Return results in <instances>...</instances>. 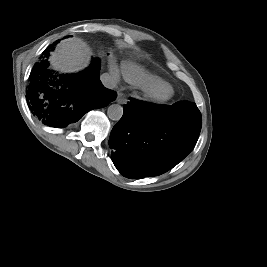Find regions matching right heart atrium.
I'll use <instances>...</instances> for the list:
<instances>
[{"label":"right heart atrium","mask_w":267,"mask_h":267,"mask_svg":"<svg viewBox=\"0 0 267 267\" xmlns=\"http://www.w3.org/2000/svg\"><path fill=\"white\" fill-rule=\"evenodd\" d=\"M109 69H110V73L111 75L115 78L118 79L119 77V70L118 67L115 63V61L113 59L110 60L109 62Z\"/></svg>","instance_id":"1"}]
</instances>
